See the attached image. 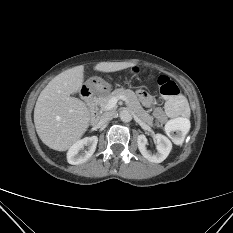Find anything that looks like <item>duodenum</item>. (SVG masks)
Here are the masks:
<instances>
[{"label": "duodenum", "mask_w": 233, "mask_h": 233, "mask_svg": "<svg viewBox=\"0 0 233 233\" xmlns=\"http://www.w3.org/2000/svg\"><path fill=\"white\" fill-rule=\"evenodd\" d=\"M81 94L91 109V121H92V123L97 122V120L99 118V112L96 109V101H95L93 90L89 87H84L81 91Z\"/></svg>", "instance_id": "410a0bca"}]
</instances>
